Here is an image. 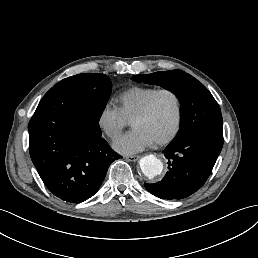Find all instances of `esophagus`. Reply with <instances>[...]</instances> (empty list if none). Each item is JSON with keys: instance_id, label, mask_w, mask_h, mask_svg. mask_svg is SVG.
Listing matches in <instances>:
<instances>
[{"instance_id": "1", "label": "esophagus", "mask_w": 258, "mask_h": 258, "mask_svg": "<svg viewBox=\"0 0 258 258\" xmlns=\"http://www.w3.org/2000/svg\"><path fill=\"white\" fill-rule=\"evenodd\" d=\"M140 155H129L125 157L126 161H136L140 158Z\"/></svg>"}]
</instances>
